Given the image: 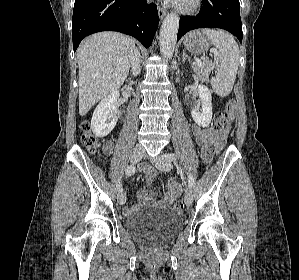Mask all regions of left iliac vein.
I'll return each mask as SVG.
<instances>
[{
    "mask_svg": "<svg viewBox=\"0 0 299 280\" xmlns=\"http://www.w3.org/2000/svg\"><path fill=\"white\" fill-rule=\"evenodd\" d=\"M154 165L161 171L168 172L172 169V164L169 160L165 158V154H162L155 162ZM185 204L187 206L191 205L192 203V192L189 188L185 191L184 197Z\"/></svg>",
    "mask_w": 299,
    "mask_h": 280,
    "instance_id": "obj_1",
    "label": "left iliac vein"
}]
</instances>
